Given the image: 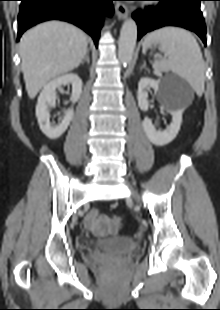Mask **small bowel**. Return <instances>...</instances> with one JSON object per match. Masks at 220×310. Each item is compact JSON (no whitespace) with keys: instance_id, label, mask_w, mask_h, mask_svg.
Here are the masks:
<instances>
[{"instance_id":"small-bowel-1","label":"small bowel","mask_w":220,"mask_h":310,"mask_svg":"<svg viewBox=\"0 0 220 310\" xmlns=\"http://www.w3.org/2000/svg\"><path fill=\"white\" fill-rule=\"evenodd\" d=\"M86 230L94 234H103L110 227V220L107 216L100 214L97 210H92L83 220Z\"/></svg>"}]
</instances>
